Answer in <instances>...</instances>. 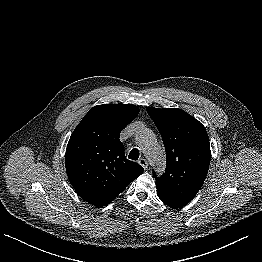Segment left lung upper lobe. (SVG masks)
Segmentation results:
<instances>
[{"mask_svg": "<svg viewBox=\"0 0 262 262\" xmlns=\"http://www.w3.org/2000/svg\"><path fill=\"white\" fill-rule=\"evenodd\" d=\"M166 151V170L153 173L160 199L185 206L197 194L207 176L211 151L205 127L178 108L148 107Z\"/></svg>", "mask_w": 262, "mask_h": 262, "instance_id": "left-lung-upper-lobe-1", "label": "left lung upper lobe"}]
</instances>
